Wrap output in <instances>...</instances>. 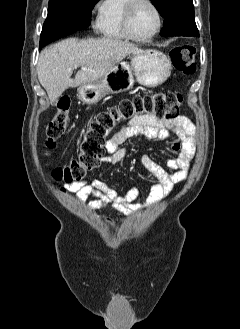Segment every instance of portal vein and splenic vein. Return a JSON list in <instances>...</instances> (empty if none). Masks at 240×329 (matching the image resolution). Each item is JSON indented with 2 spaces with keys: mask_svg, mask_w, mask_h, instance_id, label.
Returning a JSON list of instances; mask_svg holds the SVG:
<instances>
[{
  "mask_svg": "<svg viewBox=\"0 0 240 329\" xmlns=\"http://www.w3.org/2000/svg\"><path fill=\"white\" fill-rule=\"evenodd\" d=\"M81 69H82V70H87V68H86V67H82Z\"/></svg>",
  "mask_w": 240,
  "mask_h": 329,
  "instance_id": "portal-vein-and-splenic-vein-1",
  "label": "portal vein and splenic vein"
}]
</instances>
